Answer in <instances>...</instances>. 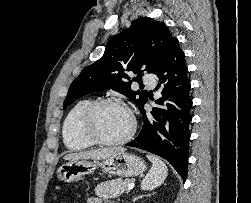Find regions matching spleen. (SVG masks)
Returning a JSON list of instances; mask_svg holds the SVG:
<instances>
[{
	"mask_svg": "<svg viewBox=\"0 0 251 203\" xmlns=\"http://www.w3.org/2000/svg\"><path fill=\"white\" fill-rule=\"evenodd\" d=\"M152 162V167L141 182L142 190H154L160 186L168 175L166 164L157 156L148 154L146 156Z\"/></svg>",
	"mask_w": 251,
	"mask_h": 203,
	"instance_id": "spleen-1",
	"label": "spleen"
}]
</instances>
